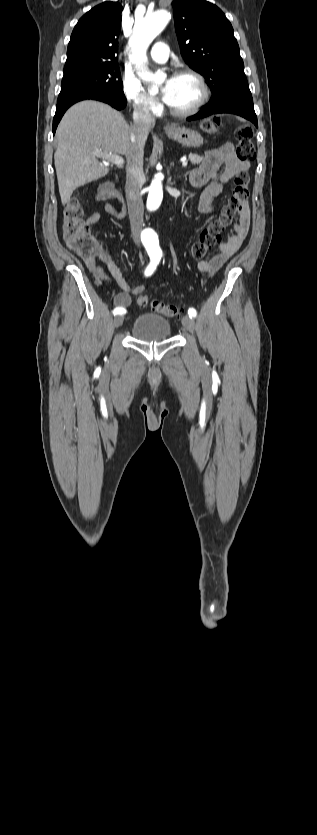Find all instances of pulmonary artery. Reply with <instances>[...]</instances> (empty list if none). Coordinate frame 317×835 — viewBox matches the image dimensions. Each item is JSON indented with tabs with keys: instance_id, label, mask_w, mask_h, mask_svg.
I'll return each instance as SVG.
<instances>
[{
	"instance_id": "obj_1",
	"label": "pulmonary artery",
	"mask_w": 317,
	"mask_h": 835,
	"mask_svg": "<svg viewBox=\"0 0 317 835\" xmlns=\"http://www.w3.org/2000/svg\"><path fill=\"white\" fill-rule=\"evenodd\" d=\"M168 56H169V48H168L167 44H165L164 42H156L153 45V47L150 51V57L154 61L159 62V63L166 62L167 59H168Z\"/></svg>"
}]
</instances>
